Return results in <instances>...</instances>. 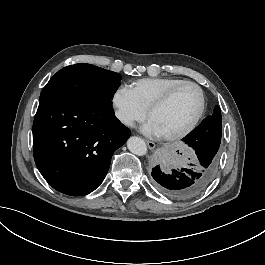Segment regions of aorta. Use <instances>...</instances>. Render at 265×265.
I'll list each match as a JSON object with an SVG mask.
<instances>
[{
	"instance_id": "obj_1",
	"label": "aorta",
	"mask_w": 265,
	"mask_h": 265,
	"mask_svg": "<svg viewBox=\"0 0 265 265\" xmlns=\"http://www.w3.org/2000/svg\"><path fill=\"white\" fill-rule=\"evenodd\" d=\"M127 147L131 153L138 156H143L147 152L145 141L136 136H132L128 139Z\"/></svg>"
}]
</instances>
